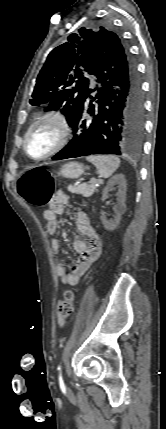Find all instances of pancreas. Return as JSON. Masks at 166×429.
Listing matches in <instances>:
<instances>
[{
    "label": "pancreas",
    "instance_id": "obj_1",
    "mask_svg": "<svg viewBox=\"0 0 166 429\" xmlns=\"http://www.w3.org/2000/svg\"><path fill=\"white\" fill-rule=\"evenodd\" d=\"M97 187L95 184L70 185L67 190L71 193L80 194L83 197H90L94 194Z\"/></svg>",
    "mask_w": 166,
    "mask_h": 429
}]
</instances>
